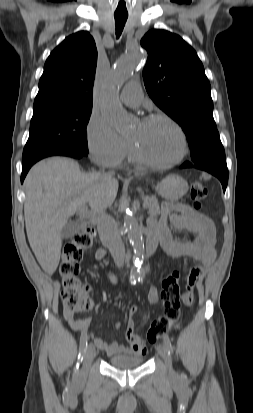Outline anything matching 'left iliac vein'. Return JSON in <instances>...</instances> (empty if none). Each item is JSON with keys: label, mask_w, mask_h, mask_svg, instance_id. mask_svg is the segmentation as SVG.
<instances>
[{"label": "left iliac vein", "mask_w": 253, "mask_h": 413, "mask_svg": "<svg viewBox=\"0 0 253 413\" xmlns=\"http://www.w3.org/2000/svg\"><path fill=\"white\" fill-rule=\"evenodd\" d=\"M157 352L166 363L169 370V374L171 376H175V371L172 367V359L168 347L165 344H159L157 346Z\"/></svg>", "instance_id": "left-iliac-vein-1"}]
</instances>
